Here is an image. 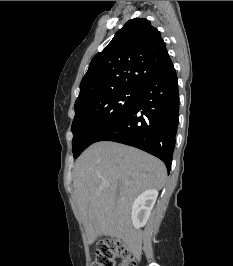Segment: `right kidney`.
<instances>
[{
	"instance_id": "obj_1",
	"label": "right kidney",
	"mask_w": 233,
	"mask_h": 266,
	"mask_svg": "<svg viewBox=\"0 0 233 266\" xmlns=\"http://www.w3.org/2000/svg\"><path fill=\"white\" fill-rule=\"evenodd\" d=\"M157 196V190L147 189L135 199L132 205L131 218L136 229H139L146 224Z\"/></svg>"
}]
</instances>
